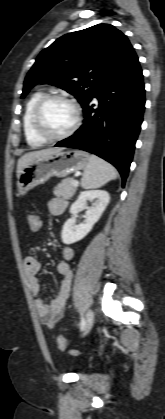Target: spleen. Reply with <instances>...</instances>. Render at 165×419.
<instances>
[{
  "label": "spleen",
  "mask_w": 165,
  "mask_h": 419,
  "mask_svg": "<svg viewBox=\"0 0 165 419\" xmlns=\"http://www.w3.org/2000/svg\"><path fill=\"white\" fill-rule=\"evenodd\" d=\"M115 168L103 159L92 155L85 167L81 186L84 189L99 188L117 178Z\"/></svg>",
  "instance_id": "1"
}]
</instances>
